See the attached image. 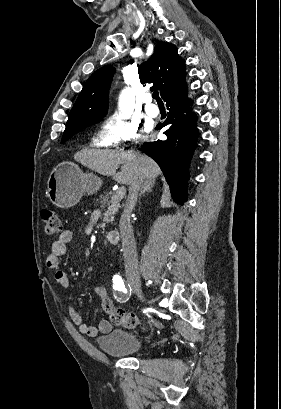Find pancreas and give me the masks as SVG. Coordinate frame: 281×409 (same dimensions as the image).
<instances>
[{
	"label": "pancreas",
	"mask_w": 281,
	"mask_h": 409,
	"mask_svg": "<svg viewBox=\"0 0 281 409\" xmlns=\"http://www.w3.org/2000/svg\"><path fill=\"white\" fill-rule=\"evenodd\" d=\"M114 198L115 197L113 195V192H106V196H103L102 200H100L102 205L101 209H105V207H108V209L109 207H111V209H113L111 217H104V223H102V227H104L105 223H112V221H114L115 213H118L119 208L113 207L111 205V202L114 200ZM105 215H108V211H106Z\"/></svg>",
	"instance_id": "obj_1"
}]
</instances>
